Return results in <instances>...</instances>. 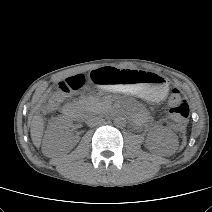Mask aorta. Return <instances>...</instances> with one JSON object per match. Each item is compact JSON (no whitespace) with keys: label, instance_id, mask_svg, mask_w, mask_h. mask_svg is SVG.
I'll use <instances>...</instances> for the list:
<instances>
[{"label":"aorta","instance_id":"762f6f07","mask_svg":"<svg viewBox=\"0 0 212 212\" xmlns=\"http://www.w3.org/2000/svg\"><path fill=\"white\" fill-rule=\"evenodd\" d=\"M125 123H126L125 118H123L122 116H118L114 119V124L118 127L125 125Z\"/></svg>","mask_w":212,"mask_h":212}]
</instances>
